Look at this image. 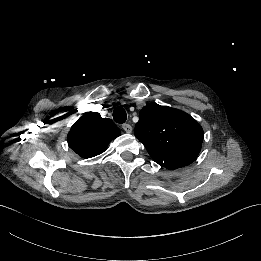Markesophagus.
Masks as SVG:
<instances>
[{
	"label": "esophagus",
	"instance_id": "esophagus-1",
	"mask_svg": "<svg viewBox=\"0 0 261 261\" xmlns=\"http://www.w3.org/2000/svg\"><path fill=\"white\" fill-rule=\"evenodd\" d=\"M122 128L126 133H131L132 132V126L130 124H123Z\"/></svg>",
	"mask_w": 261,
	"mask_h": 261
}]
</instances>
